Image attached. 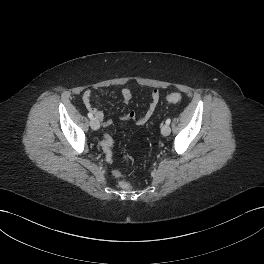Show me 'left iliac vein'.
<instances>
[{
	"label": "left iliac vein",
	"instance_id": "obj_1",
	"mask_svg": "<svg viewBox=\"0 0 264 264\" xmlns=\"http://www.w3.org/2000/svg\"><path fill=\"white\" fill-rule=\"evenodd\" d=\"M171 132V128L168 124H164L161 128V133L164 135V136H168Z\"/></svg>",
	"mask_w": 264,
	"mask_h": 264
}]
</instances>
